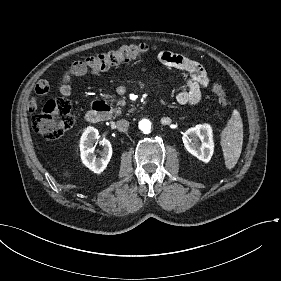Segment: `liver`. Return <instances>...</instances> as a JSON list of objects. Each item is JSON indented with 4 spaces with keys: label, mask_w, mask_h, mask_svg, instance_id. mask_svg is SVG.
Returning a JSON list of instances; mask_svg holds the SVG:
<instances>
[{
    "label": "liver",
    "mask_w": 281,
    "mask_h": 281,
    "mask_svg": "<svg viewBox=\"0 0 281 281\" xmlns=\"http://www.w3.org/2000/svg\"><path fill=\"white\" fill-rule=\"evenodd\" d=\"M61 175L67 179H72L74 178V174L72 171L68 170V169H62L61 170Z\"/></svg>",
    "instance_id": "obj_1"
}]
</instances>
